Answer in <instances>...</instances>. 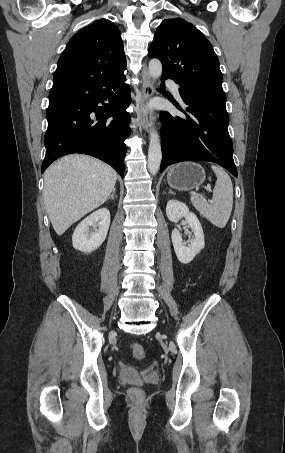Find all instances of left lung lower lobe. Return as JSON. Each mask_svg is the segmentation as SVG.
<instances>
[{
    "label": "left lung lower lobe",
    "mask_w": 285,
    "mask_h": 453,
    "mask_svg": "<svg viewBox=\"0 0 285 453\" xmlns=\"http://www.w3.org/2000/svg\"><path fill=\"white\" fill-rule=\"evenodd\" d=\"M169 77L162 76L161 86ZM186 117L162 111L160 119L162 162L160 172L182 161L215 162L237 177L233 144L228 133L229 116L223 102L185 93L179 88Z\"/></svg>",
    "instance_id": "1"
}]
</instances>
